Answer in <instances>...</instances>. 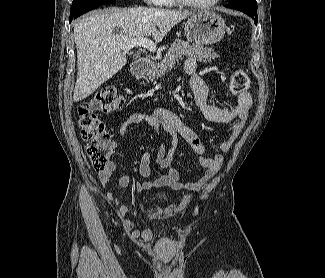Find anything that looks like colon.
Listing matches in <instances>:
<instances>
[{"label": "colon", "mask_w": 325, "mask_h": 278, "mask_svg": "<svg viewBox=\"0 0 325 278\" xmlns=\"http://www.w3.org/2000/svg\"><path fill=\"white\" fill-rule=\"evenodd\" d=\"M230 87L234 94H239L249 87L247 74L236 69L231 73ZM124 105V98L114 87H106L95 93L89 100L81 103L77 110L81 136L87 143L89 160L97 171H104L112 155L115 144L104 124L99 120L100 113L118 111Z\"/></svg>", "instance_id": "colon-1"}]
</instances>
